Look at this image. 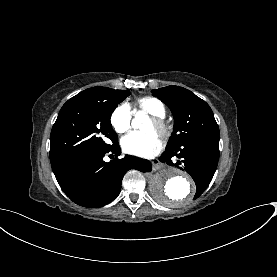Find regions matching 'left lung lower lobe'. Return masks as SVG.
<instances>
[{"mask_svg": "<svg viewBox=\"0 0 277 277\" xmlns=\"http://www.w3.org/2000/svg\"><path fill=\"white\" fill-rule=\"evenodd\" d=\"M181 161L174 165L191 175L196 184L195 198L199 197L211 182L219 159V134H209L190 139L180 147L166 150L159 158L161 162L173 165L171 158ZM183 164V168L179 164Z\"/></svg>", "mask_w": 277, "mask_h": 277, "instance_id": "obj_1", "label": "left lung lower lobe"}]
</instances>
